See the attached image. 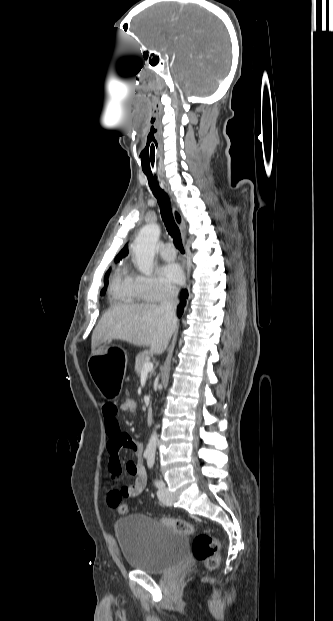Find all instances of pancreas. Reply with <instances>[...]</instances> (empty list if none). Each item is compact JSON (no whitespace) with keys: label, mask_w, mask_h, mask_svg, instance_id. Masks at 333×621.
Segmentation results:
<instances>
[{"label":"pancreas","mask_w":333,"mask_h":621,"mask_svg":"<svg viewBox=\"0 0 333 621\" xmlns=\"http://www.w3.org/2000/svg\"><path fill=\"white\" fill-rule=\"evenodd\" d=\"M149 361L148 352L140 353L135 358V372L140 375L143 369L144 363Z\"/></svg>","instance_id":"cf45deb5"}]
</instances>
